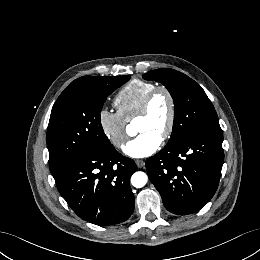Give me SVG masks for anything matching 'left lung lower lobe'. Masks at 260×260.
<instances>
[{
    "mask_svg": "<svg viewBox=\"0 0 260 260\" xmlns=\"http://www.w3.org/2000/svg\"><path fill=\"white\" fill-rule=\"evenodd\" d=\"M222 141L221 128L199 130L147 159L149 179L167 210L191 214L213 197L224 161Z\"/></svg>",
    "mask_w": 260,
    "mask_h": 260,
    "instance_id": "obj_1",
    "label": "left lung lower lobe"
}]
</instances>
